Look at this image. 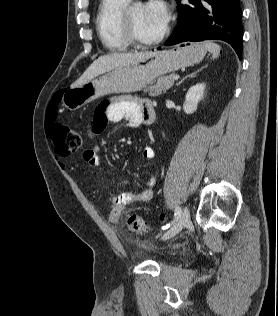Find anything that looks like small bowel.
Segmentation results:
<instances>
[{
	"label": "small bowel",
	"instance_id": "1",
	"mask_svg": "<svg viewBox=\"0 0 278 316\" xmlns=\"http://www.w3.org/2000/svg\"><path fill=\"white\" fill-rule=\"evenodd\" d=\"M152 108V104L147 99H139L130 96H120L108 99L102 102L95 111L94 119L89 126V135L93 137L101 132L107 121L120 122L125 121L130 127H137L144 123L145 112ZM155 157V151L152 147L146 146L142 150V158L151 160ZM84 161L93 168L100 166V148L94 145L83 152ZM123 180L121 185H126ZM155 179H151L146 188L140 193L122 192L110 195L111 211L109 221L117 224L123 210L133 203L148 202L153 195V185Z\"/></svg>",
	"mask_w": 278,
	"mask_h": 316
}]
</instances>
